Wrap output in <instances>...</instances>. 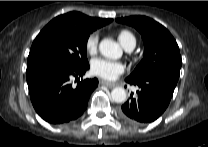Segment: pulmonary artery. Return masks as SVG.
<instances>
[{
	"label": "pulmonary artery",
	"instance_id": "pulmonary-artery-1",
	"mask_svg": "<svg viewBox=\"0 0 208 147\" xmlns=\"http://www.w3.org/2000/svg\"><path fill=\"white\" fill-rule=\"evenodd\" d=\"M134 47H135V44H132L130 47H128L126 50L127 51H132L133 49H134Z\"/></svg>",
	"mask_w": 208,
	"mask_h": 147
}]
</instances>
